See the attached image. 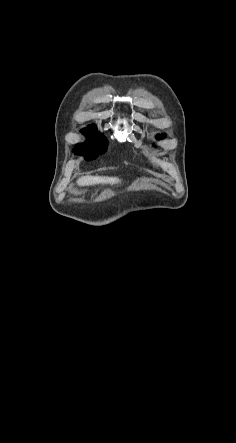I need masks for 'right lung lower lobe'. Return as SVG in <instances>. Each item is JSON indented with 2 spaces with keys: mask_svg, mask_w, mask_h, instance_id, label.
<instances>
[{
  "mask_svg": "<svg viewBox=\"0 0 236 443\" xmlns=\"http://www.w3.org/2000/svg\"><path fill=\"white\" fill-rule=\"evenodd\" d=\"M75 152L82 153L85 155L86 160H93L97 158L99 154H102V151H98L95 149L87 148V149H76Z\"/></svg>",
  "mask_w": 236,
  "mask_h": 443,
  "instance_id": "right-lung-lower-lobe-1",
  "label": "right lung lower lobe"
}]
</instances>
